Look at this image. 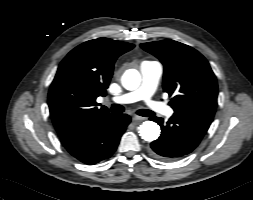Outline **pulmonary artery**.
<instances>
[{"label": "pulmonary artery", "instance_id": "e3ab8cb5", "mask_svg": "<svg viewBox=\"0 0 253 200\" xmlns=\"http://www.w3.org/2000/svg\"><path fill=\"white\" fill-rule=\"evenodd\" d=\"M142 83L136 90L114 97L112 101L118 104H128L143 100L152 110L167 117L173 115L174 111L169 106L152 100L159 80L162 76L163 67L157 61H143L140 65Z\"/></svg>", "mask_w": 253, "mask_h": 200}]
</instances>
